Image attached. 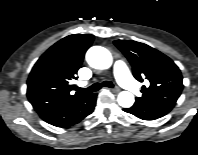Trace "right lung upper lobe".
I'll return each instance as SVG.
<instances>
[{"label":"right lung upper lobe","mask_w":198,"mask_h":155,"mask_svg":"<svg viewBox=\"0 0 198 155\" xmlns=\"http://www.w3.org/2000/svg\"><path fill=\"white\" fill-rule=\"evenodd\" d=\"M94 36L73 34L51 46L36 62L29 78L27 97L41 114L71 103L84 95L71 84Z\"/></svg>","instance_id":"obj_1"}]
</instances>
